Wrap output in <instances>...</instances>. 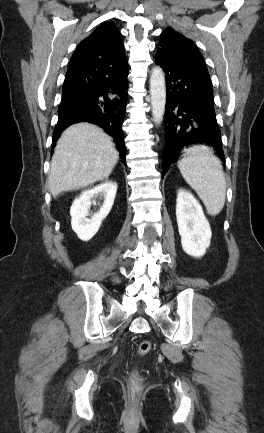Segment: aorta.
Wrapping results in <instances>:
<instances>
[{
	"label": "aorta",
	"instance_id": "1",
	"mask_svg": "<svg viewBox=\"0 0 264 433\" xmlns=\"http://www.w3.org/2000/svg\"><path fill=\"white\" fill-rule=\"evenodd\" d=\"M150 95L153 120L160 125L165 113L166 83L164 72L159 66L154 67L150 75Z\"/></svg>",
	"mask_w": 264,
	"mask_h": 433
}]
</instances>
